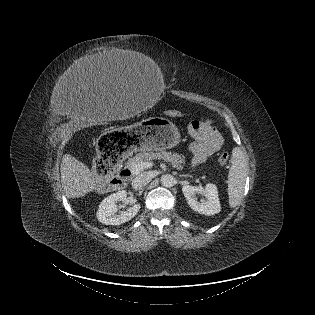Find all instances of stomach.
I'll return each mask as SVG.
<instances>
[{"mask_svg":"<svg viewBox=\"0 0 315 315\" xmlns=\"http://www.w3.org/2000/svg\"><path fill=\"white\" fill-rule=\"evenodd\" d=\"M181 135L177 126L163 117H149L123 130L107 132L99 140V153L107 161L137 151L164 150L177 146Z\"/></svg>","mask_w":315,"mask_h":315,"instance_id":"obj_1","label":"stomach"}]
</instances>
